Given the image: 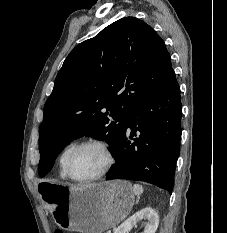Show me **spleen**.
<instances>
[{"label": "spleen", "instance_id": "1", "mask_svg": "<svg viewBox=\"0 0 227 233\" xmlns=\"http://www.w3.org/2000/svg\"><path fill=\"white\" fill-rule=\"evenodd\" d=\"M133 193L140 196L143 193V187L139 184H134L132 187Z\"/></svg>", "mask_w": 227, "mask_h": 233}]
</instances>
